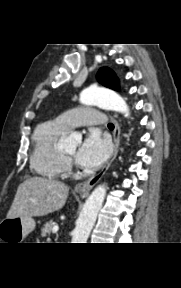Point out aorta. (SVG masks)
<instances>
[{"label":"aorta","instance_id":"1","mask_svg":"<svg viewBox=\"0 0 181 288\" xmlns=\"http://www.w3.org/2000/svg\"><path fill=\"white\" fill-rule=\"evenodd\" d=\"M80 102L84 105H98L129 116V108L124 99L118 94L102 88L90 87L80 94ZM77 137L72 134L66 139L68 145H75ZM106 196V185L96 187L86 200L73 231L72 243H86L95 224L99 210Z\"/></svg>","mask_w":181,"mask_h":288}]
</instances>
